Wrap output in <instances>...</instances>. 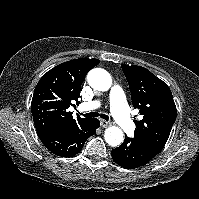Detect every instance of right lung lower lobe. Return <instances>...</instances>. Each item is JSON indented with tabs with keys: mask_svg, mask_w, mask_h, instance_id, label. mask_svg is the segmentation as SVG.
Masks as SVG:
<instances>
[{
	"mask_svg": "<svg viewBox=\"0 0 199 199\" xmlns=\"http://www.w3.org/2000/svg\"><path fill=\"white\" fill-rule=\"evenodd\" d=\"M100 122L91 118L81 127L71 130H47L38 133L44 146L53 154L61 157H72L78 154L86 140L96 133Z\"/></svg>",
	"mask_w": 199,
	"mask_h": 199,
	"instance_id": "right-lung-lower-lobe-1",
	"label": "right lung lower lobe"
}]
</instances>
